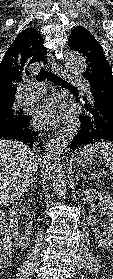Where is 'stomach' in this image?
I'll return each instance as SVG.
<instances>
[{
  "mask_svg": "<svg viewBox=\"0 0 113 279\" xmlns=\"http://www.w3.org/2000/svg\"><path fill=\"white\" fill-rule=\"evenodd\" d=\"M97 158V152L86 147L79 149L74 155V161L79 166L93 165Z\"/></svg>",
  "mask_w": 113,
  "mask_h": 279,
  "instance_id": "0dacf381",
  "label": "stomach"
}]
</instances>
